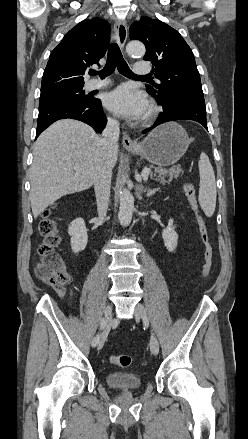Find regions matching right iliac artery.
I'll return each mask as SVG.
<instances>
[{"mask_svg": "<svg viewBox=\"0 0 248 439\" xmlns=\"http://www.w3.org/2000/svg\"><path fill=\"white\" fill-rule=\"evenodd\" d=\"M100 328H105L104 319L101 320ZM99 335H101L100 331H97V334L92 337V346L97 345V341H98L97 339Z\"/></svg>", "mask_w": 248, "mask_h": 439, "instance_id": "right-iliac-artery-1", "label": "right iliac artery"}]
</instances>
